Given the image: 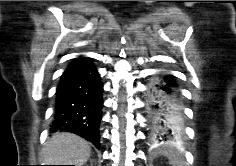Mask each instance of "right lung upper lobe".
<instances>
[{
  "label": "right lung upper lobe",
  "instance_id": "1",
  "mask_svg": "<svg viewBox=\"0 0 236 166\" xmlns=\"http://www.w3.org/2000/svg\"><path fill=\"white\" fill-rule=\"evenodd\" d=\"M87 59H90V58H88V57H79V58L74 59V62L83 61V60H87Z\"/></svg>",
  "mask_w": 236,
  "mask_h": 166
}]
</instances>
